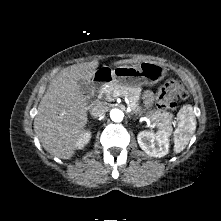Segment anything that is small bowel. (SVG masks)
<instances>
[{"mask_svg":"<svg viewBox=\"0 0 221 221\" xmlns=\"http://www.w3.org/2000/svg\"><path fill=\"white\" fill-rule=\"evenodd\" d=\"M154 98L155 97H154V94H153L152 91L147 90L143 94L144 103L146 105H151L153 103V101H154Z\"/></svg>","mask_w":221,"mask_h":221,"instance_id":"1","label":"small bowel"}]
</instances>
